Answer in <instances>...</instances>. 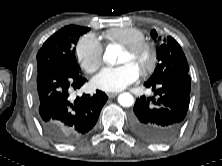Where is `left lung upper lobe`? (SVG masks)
Returning <instances> with one entry per match:
<instances>
[{
	"instance_id": "1",
	"label": "left lung upper lobe",
	"mask_w": 222,
	"mask_h": 166,
	"mask_svg": "<svg viewBox=\"0 0 222 166\" xmlns=\"http://www.w3.org/2000/svg\"><path fill=\"white\" fill-rule=\"evenodd\" d=\"M151 36L154 39L157 37L155 30L151 31ZM159 40L158 64L148 81L156 82L167 76L188 74V63L178 42L171 36L159 37Z\"/></svg>"
}]
</instances>
